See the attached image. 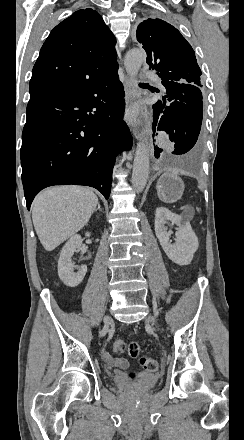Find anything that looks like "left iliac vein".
Returning a JSON list of instances; mask_svg holds the SVG:
<instances>
[{"label": "left iliac vein", "instance_id": "4c4485c4", "mask_svg": "<svg viewBox=\"0 0 244 440\" xmlns=\"http://www.w3.org/2000/svg\"><path fill=\"white\" fill-rule=\"evenodd\" d=\"M146 321L150 322V323H154L155 322V317L149 316V317L146 318Z\"/></svg>", "mask_w": 244, "mask_h": 440}]
</instances>
